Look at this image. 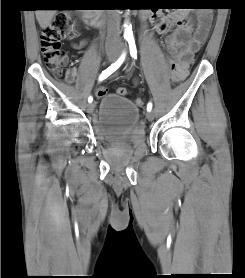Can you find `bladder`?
<instances>
[{"mask_svg": "<svg viewBox=\"0 0 245 278\" xmlns=\"http://www.w3.org/2000/svg\"><path fill=\"white\" fill-rule=\"evenodd\" d=\"M93 127L98 141L106 145L136 146L145 140L139 108L115 93L102 97Z\"/></svg>", "mask_w": 245, "mask_h": 278, "instance_id": "obj_1", "label": "bladder"}]
</instances>
